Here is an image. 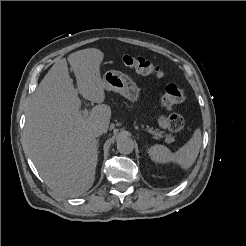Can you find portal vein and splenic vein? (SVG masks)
I'll list each match as a JSON object with an SVG mask.
<instances>
[{
    "label": "portal vein and splenic vein",
    "instance_id": "obj_1",
    "mask_svg": "<svg viewBox=\"0 0 246 246\" xmlns=\"http://www.w3.org/2000/svg\"><path fill=\"white\" fill-rule=\"evenodd\" d=\"M88 114H89V112H88V110L85 108L83 111H82V115H83V117H87L88 116ZM148 133H150V134H152V135H155V136H159V137H161V135L160 134H157V133H155L152 129H147L146 130Z\"/></svg>",
    "mask_w": 246,
    "mask_h": 246
}]
</instances>
